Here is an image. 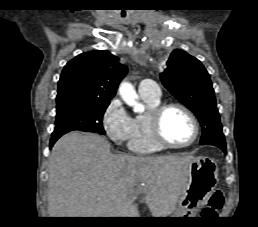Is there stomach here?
Listing matches in <instances>:
<instances>
[{
  "label": "stomach",
  "mask_w": 258,
  "mask_h": 227,
  "mask_svg": "<svg viewBox=\"0 0 258 227\" xmlns=\"http://www.w3.org/2000/svg\"><path fill=\"white\" fill-rule=\"evenodd\" d=\"M218 183V167L208 157H197L183 168L182 192L171 217H192L209 200Z\"/></svg>",
  "instance_id": "0dacf381"
}]
</instances>
